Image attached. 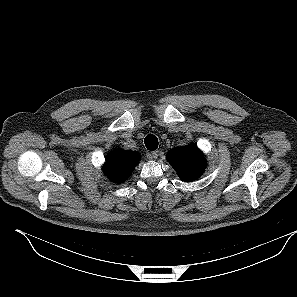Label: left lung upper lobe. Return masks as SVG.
Segmentation results:
<instances>
[{
  "mask_svg": "<svg viewBox=\"0 0 297 297\" xmlns=\"http://www.w3.org/2000/svg\"><path fill=\"white\" fill-rule=\"evenodd\" d=\"M166 158L180 179L185 182H191L200 177L205 168L204 155L194 143L174 147L167 152Z\"/></svg>",
  "mask_w": 297,
  "mask_h": 297,
  "instance_id": "left-lung-upper-lobe-1",
  "label": "left lung upper lobe"
}]
</instances>
